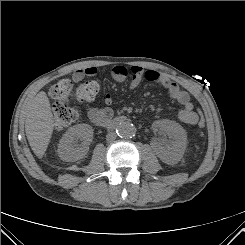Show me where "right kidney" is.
Returning <instances> with one entry per match:
<instances>
[{
    "mask_svg": "<svg viewBox=\"0 0 245 245\" xmlns=\"http://www.w3.org/2000/svg\"><path fill=\"white\" fill-rule=\"evenodd\" d=\"M93 140V128L88 124H78L68 129L60 139L58 155L67 162L83 158ZM78 142H81L78 144Z\"/></svg>",
    "mask_w": 245,
    "mask_h": 245,
    "instance_id": "obj_1",
    "label": "right kidney"
}]
</instances>
